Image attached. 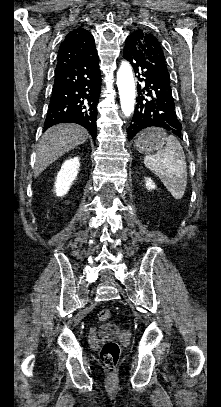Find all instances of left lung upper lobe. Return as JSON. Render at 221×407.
<instances>
[{"label": "left lung upper lobe", "instance_id": "1", "mask_svg": "<svg viewBox=\"0 0 221 407\" xmlns=\"http://www.w3.org/2000/svg\"><path fill=\"white\" fill-rule=\"evenodd\" d=\"M141 54L157 69L168 74L166 60L160 42L151 33L142 30L133 32Z\"/></svg>", "mask_w": 221, "mask_h": 407}]
</instances>
